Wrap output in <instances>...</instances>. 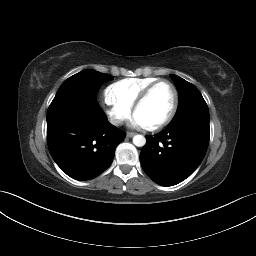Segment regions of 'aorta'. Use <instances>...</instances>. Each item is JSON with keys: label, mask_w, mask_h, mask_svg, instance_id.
<instances>
[{"label": "aorta", "mask_w": 256, "mask_h": 256, "mask_svg": "<svg viewBox=\"0 0 256 256\" xmlns=\"http://www.w3.org/2000/svg\"><path fill=\"white\" fill-rule=\"evenodd\" d=\"M146 143V138L143 135H135L133 137V144L137 147H143Z\"/></svg>", "instance_id": "obj_1"}]
</instances>
